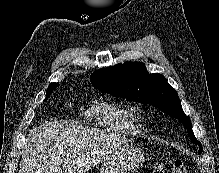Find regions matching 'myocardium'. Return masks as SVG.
Instances as JSON below:
<instances>
[{
	"mask_svg": "<svg viewBox=\"0 0 219 173\" xmlns=\"http://www.w3.org/2000/svg\"><path fill=\"white\" fill-rule=\"evenodd\" d=\"M133 117L137 122H141L143 120V115L141 113H136Z\"/></svg>",
	"mask_w": 219,
	"mask_h": 173,
	"instance_id": "myocardium-1",
	"label": "myocardium"
}]
</instances>
